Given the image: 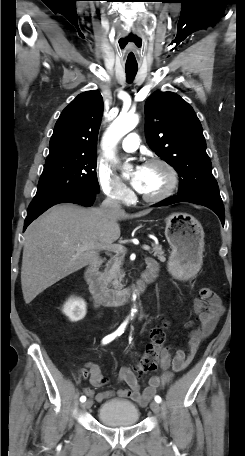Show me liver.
<instances>
[{
    "label": "liver",
    "instance_id": "1",
    "mask_svg": "<svg viewBox=\"0 0 245 456\" xmlns=\"http://www.w3.org/2000/svg\"><path fill=\"white\" fill-rule=\"evenodd\" d=\"M151 209L129 215L124 210L56 205L33 221L25 232L21 285L24 301L64 277L82 269L98 255L100 247L120 237L118 220L141 217Z\"/></svg>",
    "mask_w": 245,
    "mask_h": 456
}]
</instances>
